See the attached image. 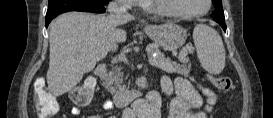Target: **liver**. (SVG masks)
I'll return each instance as SVG.
<instances>
[{
	"label": "liver",
	"instance_id": "liver-1",
	"mask_svg": "<svg viewBox=\"0 0 273 118\" xmlns=\"http://www.w3.org/2000/svg\"><path fill=\"white\" fill-rule=\"evenodd\" d=\"M127 14L94 15L68 12L50 25V62L47 72L49 91L61 96L71 91L103 60L118 42L126 40V33L117 26L133 20Z\"/></svg>",
	"mask_w": 273,
	"mask_h": 118
}]
</instances>
